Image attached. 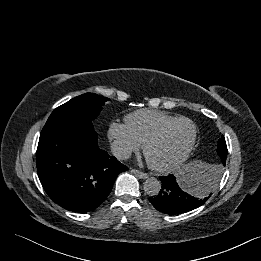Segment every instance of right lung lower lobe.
I'll return each mask as SVG.
<instances>
[{"instance_id": "98d812e1", "label": "right lung lower lobe", "mask_w": 261, "mask_h": 261, "mask_svg": "<svg viewBox=\"0 0 261 261\" xmlns=\"http://www.w3.org/2000/svg\"><path fill=\"white\" fill-rule=\"evenodd\" d=\"M40 182L49 197L73 212H88L109 195L128 168L98 146L91 121L42 130L36 152Z\"/></svg>"}]
</instances>
